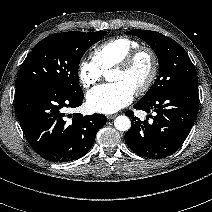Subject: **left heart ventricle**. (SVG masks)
<instances>
[{
  "label": "left heart ventricle",
  "instance_id": "1",
  "mask_svg": "<svg viewBox=\"0 0 212 212\" xmlns=\"http://www.w3.org/2000/svg\"><path fill=\"white\" fill-rule=\"evenodd\" d=\"M150 70L148 57L142 56L129 71L112 70L108 79L111 82H123L133 90L140 86L147 78Z\"/></svg>",
  "mask_w": 212,
  "mask_h": 212
}]
</instances>
